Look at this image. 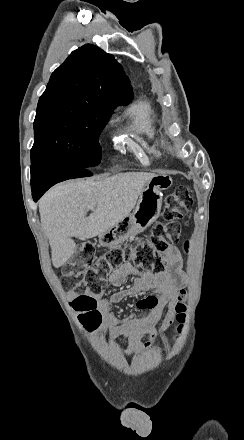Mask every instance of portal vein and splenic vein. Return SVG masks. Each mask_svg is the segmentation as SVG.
Masks as SVG:
<instances>
[{
    "label": "portal vein and splenic vein",
    "instance_id": "1",
    "mask_svg": "<svg viewBox=\"0 0 244 440\" xmlns=\"http://www.w3.org/2000/svg\"><path fill=\"white\" fill-rule=\"evenodd\" d=\"M89 210H94L93 206H88Z\"/></svg>",
    "mask_w": 244,
    "mask_h": 440
}]
</instances>
